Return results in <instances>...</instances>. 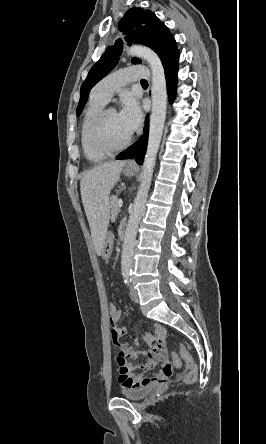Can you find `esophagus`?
Segmentation results:
<instances>
[{"mask_svg":"<svg viewBox=\"0 0 266 444\" xmlns=\"http://www.w3.org/2000/svg\"><path fill=\"white\" fill-rule=\"evenodd\" d=\"M128 166L135 167L136 165H135L134 162H129V163H128Z\"/></svg>","mask_w":266,"mask_h":444,"instance_id":"34e87169","label":"esophagus"}]
</instances>
